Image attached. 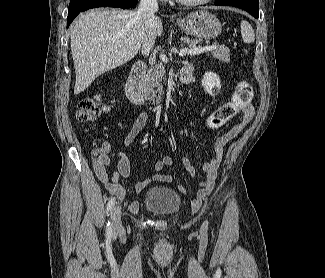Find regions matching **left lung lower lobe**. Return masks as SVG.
<instances>
[{
  "label": "left lung lower lobe",
  "instance_id": "obj_1",
  "mask_svg": "<svg viewBox=\"0 0 325 278\" xmlns=\"http://www.w3.org/2000/svg\"><path fill=\"white\" fill-rule=\"evenodd\" d=\"M217 6H234L244 9L256 19L259 17V0H216Z\"/></svg>",
  "mask_w": 325,
  "mask_h": 278
}]
</instances>
